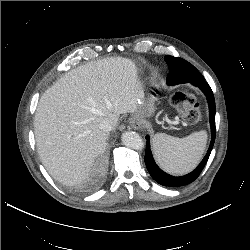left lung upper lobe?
<instances>
[{
    "instance_id": "left-lung-upper-lobe-1",
    "label": "left lung upper lobe",
    "mask_w": 250,
    "mask_h": 250,
    "mask_svg": "<svg viewBox=\"0 0 250 250\" xmlns=\"http://www.w3.org/2000/svg\"><path fill=\"white\" fill-rule=\"evenodd\" d=\"M164 59H165L166 63L169 64L170 62H172L173 60H176L177 58H175L173 56H165ZM171 80H172V75L169 72V74L167 76V81H166L168 85L170 84Z\"/></svg>"
}]
</instances>
